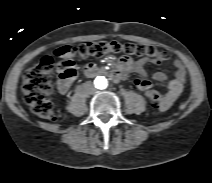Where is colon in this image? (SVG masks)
<instances>
[{
  "label": "colon",
  "instance_id": "obj_1",
  "mask_svg": "<svg viewBox=\"0 0 212 183\" xmlns=\"http://www.w3.org/2000/svg\"><path fill=\"white\" fill-rule=\"evenodd\" d=\"M124 54L148 58L157 64H163L171 59V54L166 49H159L152 45L120 43L117 41H95L80 45H65L55 50V55L63 58L57 63L59 72L65 78H75L77 69L72 61L74 57L87 58L103 54ZM55 62L49 57H43L37 64L28 69L23 77V94L26 104L37 116L45 119L54 118L53 105L50 95L53 90L52 73ZM145 95L151 105L158 109L165 100V96L150 87V82H145Z\"/></svg>",
  "mask_w": 212,
  "mask_h": 183
}]
</instances>
